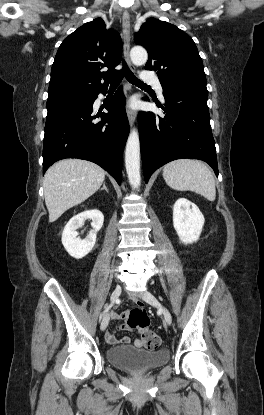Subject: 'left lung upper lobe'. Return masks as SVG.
<instances>
[{"instance_id": "1", "label": "left lung upper lobe", "mask_w": 264, "mask_h": 415, "mask_svg": "<svg viewBox=\"0 0 264 415\" xmlns=\"http://www.w3.org/2000/svg\"><path fill=\"white\" fill-rule=\"evenodd\" d=\"M135 43L148 51L145 69L157 73L163 92L191 90L208 94L197 47L178 27L150 18L135 34Z\"/></svg>"}]
</instances>
